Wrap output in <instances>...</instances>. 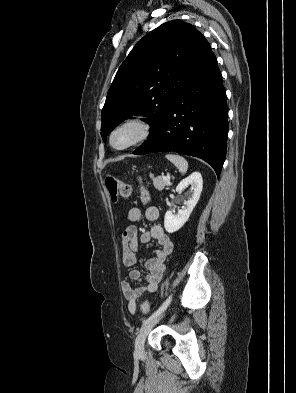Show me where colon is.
I'll return each instance as SVG.
<instances>
[{
  "label": "colon",
  "instance_id": "colon-1",
  "mask_svg": "<svg viewBox=\"0 0 296 393\" xmlns=\"http://www.w3.org/2000/svg\"><path fill=\"white\" fill-rule=\"evenodd\" d=\"M105 185L110 193L113 201H116L118 197L129 198L132 193V188L128 183L122 182L115 177L108 175L105 178ZM140 198L143 202H147L149 199L148 192L140 182ZM141 312L144 316L150 313V304L148 301H143L140 306Z\"/></svg>",
  "mask_w": 296,
  "mask_h": 393
}]
</instances>
